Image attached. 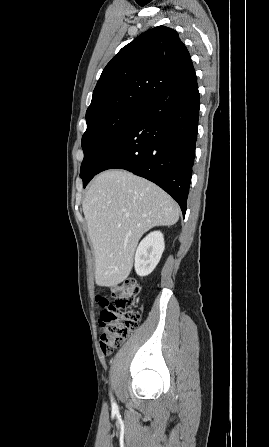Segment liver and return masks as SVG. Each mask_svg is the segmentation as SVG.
<instances>
[{"instance_id": "liver-1", "label": "liver", "mask_w": 269, "mask_h": 447, "mask_svg": "<svg viewBox=\"0 0 269 447\" xmlns=\"http://www.w3.org/2000/svg\"><path fill=\"white\" fill-rule=\"evenodd\" d=\"M82 208L94 247L97 285L124 281L143 233L179 220V208L166 192L125 170L96 176Z\"/></svg>"}]
</instances>
